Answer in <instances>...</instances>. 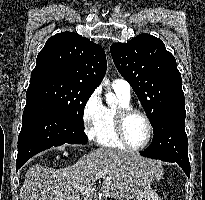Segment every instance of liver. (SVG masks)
<instances>
[{
	"instance_id": "liver-1",
	"label": "liver",
	"mask_w": 205,
	"mask_h": 200,
	"mask_svg": "<svg viewBox=\"0 0 205 200\" xmlns=\"http://www.w3.org/2000/svg\"><path fill=\"white\" fill-rule=\"evenodd\" d=\"M160 164L137 153L100 147L83 155L71 166L53 169L33 165L25 174L21 200H80L81 188L95 187L96 173L108 172L99 181L104 197L119 200L136 198L162 177Z\"/></svg>"
}]
</instances>
